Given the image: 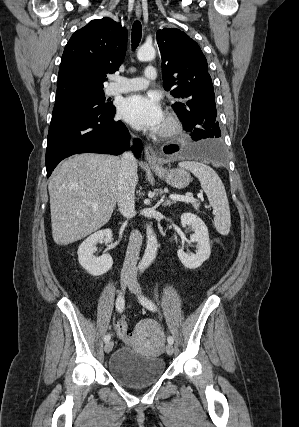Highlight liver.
Masks as SVG:
<instances>
[{"label": "liver", "instance_id": "1", "mask_svg": "<svg viewBox=\"0 0 299 427\" xmlns=\"http://www.w3.org/2000/svg\"><path fill=\"white\" fill-rule=\"evenodd\" d=\"M119 174L118 157L93 153L72 156L54 170L48 190L56 244L78 241L109 221L117 202Z\"/></svg>", "mask_w": 299, "mask_h": 427}]
</instances>
